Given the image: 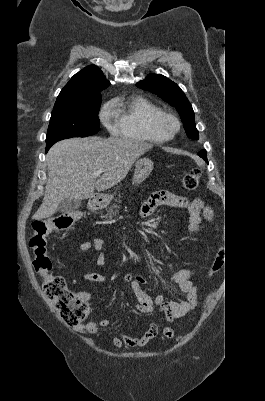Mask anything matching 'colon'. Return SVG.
<instances>
[{"label":"colon","instance_id":"colon-1","mask_svg":"<svg viewBox=\"0 0 265 401\" xmlns=\"http://www.w3.org/2000/svg\"><path fill=\"white\" fill-rule=\"evenodd\" d=\"M200 170L193 168L182 181V187L186 192L197 188L200 180ZM82 213L78 210L67 212L49 219H40L33 222V234L29 240V246L33 251V266L35 271L42 276V289L45 297L49 299L61 318L69 326L80 325L89 313L87 300L73 293L67 286L65 279L59 275L50 273L52 263L47 255V238L55 231L69 229L79 221ZM225 250L219 249L209 273L220 270L225 264ZM174 332L170 327L163 330V335L171 338Z\"/></svg>","mask_w":265,"mask_h":401}]
</instances>
